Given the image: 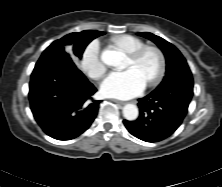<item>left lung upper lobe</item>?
<instances>
[{
	"instance_id": "obj_1",
	"label": "left lung upper lobe",
	"mask_w": 222,
	"mask_h": 187,
	"mask_svg": "<svg viewBox=\"0 0 222 187\" xmlns=\"http://www.w3.org/2000/svg\"><path fill=\"white\" fill-rule=\"evenodd\" d=\"M155 44L162 50L166 58V72L165 77L161 84L153 91L162 93L166 89L164 95L169 93H176L182 89V79L185 77H192L188 64L180 53V51L171 43L167 42L163 38L156 36L149 32L138 33Z\"/></svg>"
}]
</instances>
